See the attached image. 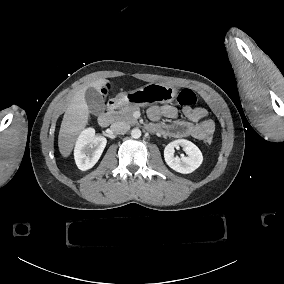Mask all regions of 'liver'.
<instances>
[{"label":"liver","instance_id":"1","mask_svg":"<svg viewBox=\"0 0 284 284\" xmlns=\"http://www.w3.org/2000/svg\"><path fill=\"white\" fill-rule=\"evenodd\" d=\"M111 85L110 80L99 78L82 85L67 104L59 129L58 149L63 158H68L76 145L77 138L85 131L90 122V110L86 103V93L93 88L101 93L103 88Z\"/></svg>","mask_w":284,"mask_h":284}]
</instances>
